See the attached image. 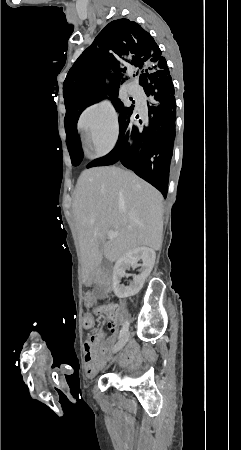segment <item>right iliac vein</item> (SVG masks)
Segmentation results:
<instances>
[{
	"mask_svg": "<svg viewBox=\"0 0 241 450\" xmlns=\"http://www.w3.org/2000/svg\"><path fill=\"white\" fill-rule=\"evenodd\" d=\"M130 336L129 331H127L121 338L120 340L117 342V344L115 345V347L113 348L114 352L119 351L121 348H123L125 346V344L128 341V338Z\"/></svg>",
	"mask_w": 241,
	"mask_h": 450,
	"instance_id": "1",
	"label": "right iliac vein"
}]
</instances>
